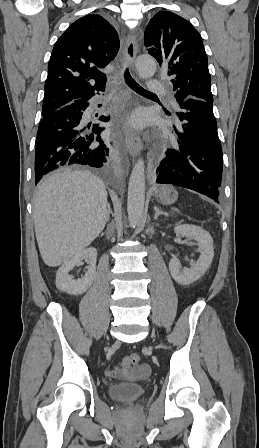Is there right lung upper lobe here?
I'll return each mask as SVG.
<instances>
[{"instance_id": "cb5924a9", "label": "right lung upper lobe", "mask_w": 259, "mask_h": 448, "mask_svg": "<svg viewBox=\"0 0 259 448\" xmlns=\"http://www.w3.org/2000/svg\"><path fill=\"white\" fill-rule=\"evenodd\" d=\"M118 50V34L102 16L89 14L75 21L52 50L42 115L104 91L107 78L102 69Z\"/></svg>"}]
</instances>
